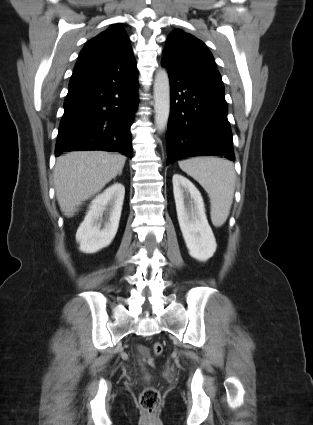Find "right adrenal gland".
Masks as SVG:
<instances>
[{
  "label": "right adrenal gland",
  "instance_id": "right-adrenal-gland-1",
  "mask_svg": "<svg viewBox=\"0 0 313 425\" xmlns=\"http://www.w3.org/2000/svg\"><path fill=\"white\" fill-rule=\"evenodd\" d=\"M121 174H122V170H121V171H119L118 176H121Z\"/></svg>",
  "mask_w": 313,
  "mask_h": 425
}]
</instances>
